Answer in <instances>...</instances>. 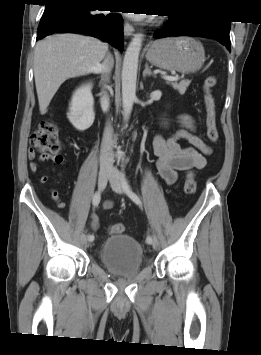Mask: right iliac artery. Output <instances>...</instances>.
<instances>
[{"label": "right iliac artery", "instance_id": "right-iliac-artery-1", "mask_svg": "<svg viewBox=\"0 0 261 355\" xmlns=\"http://www.w3.org/2000/svg\"><path fill=\"white\" fill-rule=\"evenodd\" d=\"M100 200H101V193H100V191H97V192L94 194V196H93V201H92L93 206H94V207H97L98 204L100 203ZM88 240H89L90 242H92V241L94 240V236H93V235H88Z\"/></svg>", "mask_w": 261, "mask_h": 355}]
</instances>
